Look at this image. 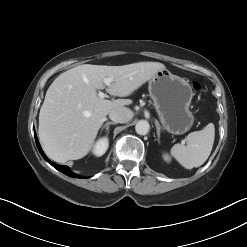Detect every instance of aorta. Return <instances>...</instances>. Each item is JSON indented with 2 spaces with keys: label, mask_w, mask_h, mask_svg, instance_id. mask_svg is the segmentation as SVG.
<instances>
[{
  "label": "aorta",
  "mask_w": 247,
  "mask_h": 247,
  "mask_svg": "<svg viewBox=\"0 0 247 247\" xmlns=\"http://www.w3.org/2000/svg\"><path fill=\"white\" fill-rule=\"evenodd\" d=\"M150 125L146 120H140L135 126V130L139 135H146L149 131Z\"/></svg>",
  "instance_id": "obj_1"
}]
</instances>
